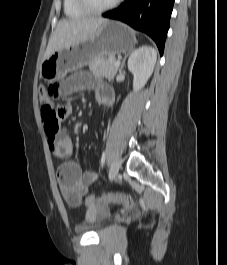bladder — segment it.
Wrapping results in <instances>:
<instances>
[{"label": "bladder", "mask_w": 227, "mask_h": 265, "mask_svg": "<svg viewBox=\"0 0 227 265\" xmlns=\"http://www.w3.org/2000/svg\"><path fill=\"white\" fill-rule=\"evenodd\" d=\"M106 220H107V217L100 218L92 224L78 226L77 230L78 231L91 230L94 232H100L105 227Z\"/></svg>", "instance_id": "bladder-1"}]
</instances>
